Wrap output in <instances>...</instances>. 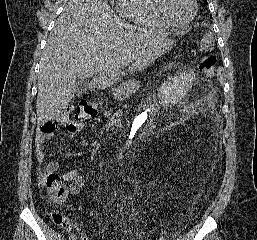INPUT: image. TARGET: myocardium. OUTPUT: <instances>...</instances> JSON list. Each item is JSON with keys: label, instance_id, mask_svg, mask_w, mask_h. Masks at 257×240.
<instances>
[{"label": "myocardium", "instance_id": "myocardium-1", "mask_svg": "<svg viewBox=\"0 0 257 240\" xmlns=\"http://www.w3.org/2000/svg\"><path fill=\"white\" fill-rule=\"evenodd\" d=\"M152 1H153V9H154L157 17L163 23H165L168 27H171L174 29H182V28H186L187 26H189L192 23V21L194 20L196 14H197V11H198L197 1L190 0L191 5H192V11H191L189 18L182 23H175V22H172L171 20H169L167 18V16L165 15L163 8H162V0H152Z\"/></svg>", "mask_w": 257, "mask_h": 240}]
</instances>
